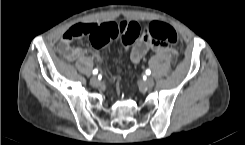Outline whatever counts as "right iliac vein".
<instances>
[{
  "instance_id": "63e3f726",
  "label": "right iliac vein",
  "mask_w": 245,
  "mask_h": 145,
  "mask_svg": "<svg viewBox=\"0 0 245 145\" xmlns=\"http://www.w3.org/2000/svg\"><path fill=\"white\" fill-rule=\"evenodd\" d=\"M90 83L93 85V86H99L100 85V81L97 77H92L91 80H90Z\"/></svg>"
}]
</instances>
